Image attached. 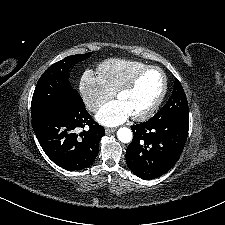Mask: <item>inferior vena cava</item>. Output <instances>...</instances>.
Segmentation results:
<instances>
[{"instance_id": "1", "label": "inferior vena cava", "mask_w": 225, "mask_h": 225, "mask_svg": "<svg viewBox=\"0 0 225 225\" xmlns=\"http://www.w3.org/2000/svg\"><path fill=\"white\" fill-rule=\"evenodd\" d=\"M98 106L99 105L97 103H92V104L89 105V109L94 111V110H96L98 108Z\"/></svg>"}]
</instances>
